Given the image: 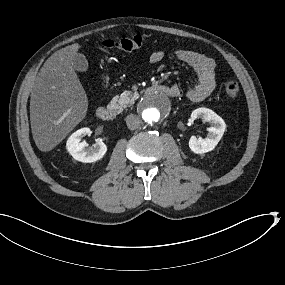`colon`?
<instances>
[{"label":"colon","instance_id":"5ec220e1","mask_svg":"<svg viewBox=\"0 0 285 285\" xmlns=\"http://www.w3.org/2000/svg\"><path fill=\"white\" fill-rule=\"evenodd\" d=\"M102 46L108 49H116L120 51H134L142 47L143 39L136 35L133 37L121 39H106L102 41ZM239 85L235 81H229L224 86V94L229 99H234L238 96Z\"/></svg>","mask_w":285,"mask_h":285}]
</instances>
